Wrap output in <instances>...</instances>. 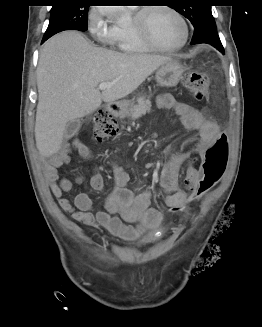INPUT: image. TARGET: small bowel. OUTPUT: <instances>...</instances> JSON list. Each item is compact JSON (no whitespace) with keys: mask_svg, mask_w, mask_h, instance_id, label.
<instances>
[{"mask_svg":"<svg viewBox=\"0 0 262 327\" xmlns=\"http://www.w3.org/2000/svg\"><path fill=\"white\" fill-rule=\"evenodd\" d=\"M157 106L162 109L174 110L179 116L180 122L185 129L196 131L199 139L193 149L179 153L163 166L160 173V185L166 193L165 205L186 206L188 193L201 176L197 166L200 160L208 153L212 143H218L217 135H223L219 127L212 121L205 119L201 113L189 104L175 99L172 95L165 94L157 98ZM71 149L77 152L87 161L92 159V151L89 147L77 140L65 143L59 152L50 160L45 167V177L50 184L53 195L57 198L60 207L70 216L85 225L101 226L112 234L125 240H134L146 229H156L161 225V212L151 207V193L144 191L135 195L127 188L129 182L128 173L117 163L112 162L111 168L115 181V187L106 200V210L93 214L92 201L88 194L79 193L71 201L64 197V193L72 189V182L66 178H60L58 169L69 161ZM186 178L182 183L186 189L179 187V172L181 165L187 159ZM79 178L78 181H81ZM90 185L95 190L104 188V178L101 169L97 165H91Z\"/></svg>","mask_w":262,"mask_h":327,"instance_id":"obj_1","label":"small bowel"}]
</instances>
